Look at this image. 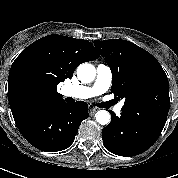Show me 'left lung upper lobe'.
Returning <instances> with one entry per match:
<instances>
[{
    "mask_svg": "<svg viewBox=\"0 0 178 178\" xmlns=\"http://www.w3.org/2000/svg\"><path fill=\"white\" fill-rule=\"evenodd\" d=\"M94 45L111 68V93L125 99L122 112L163 128L170 108L169 83L157 59L126 40Z\"/></svg>",
    "mask_w": 178,
    "mask_h": 178,
    "instance_id": "obj_1",
    "label": "left lung upper lobe"
}]
</instances>
